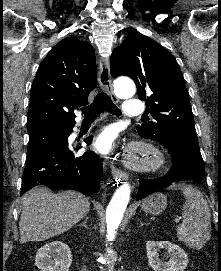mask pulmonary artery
Wrapping results in <instances>:
<instances>
[{"label":"pulmonary artery","mask_w":221,"mask_h":271,"mask_svg":"<svg viewBox=\"0 0 221 271\" xmlns=\"http://www.w3.org/2000/svg\"><path fill=\"white\" fill-rule=\"evenodd\" d=\"M130 102H126L123 117H137V112H145L146 102H138V98H130Z\"/></svg>","instance_id":"e3ab8cb5"}]
</instances>
